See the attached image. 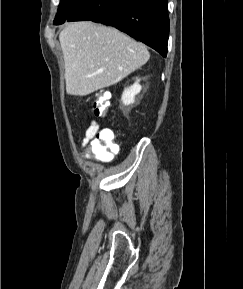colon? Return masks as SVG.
Listing matches in <instances>:
<instances>
[{
  "label": "colon",
  "instance_id": "1",
  "mask_svg": "<svg viewBox=\"0 0 243 289\" xmlns=\"http://www.w3.org/2000/svg\"><path fill=\"white\" fill-rule=\"evenodd\" d=\"M109 94L104 91L95 93L92 109L96 116H105L109 109ZM118 150L114 140V134L110 129L101 130L96 137L87 145L86 156L108 162Z\"/></svg>",
  "mask_w": 243,
  "mask_h": 289
}]
</instances>
